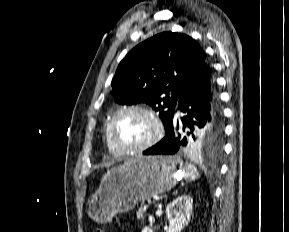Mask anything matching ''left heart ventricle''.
Here are the masks:
<instances>
[{
    "mask_svg": "<svg viewBox=\"0 0 289 232\" xmlns=\"http://www.w3.org/2000/svg\"><path fill=\"white\" fill-rule=\"evenodd\" d=\"M153 132L151 121L136 111L121 114L115 123L116 140L124 146H137L146 142Z\"/></svg>",
    "mask_w": 289,
    "mask_h": 232,
    "instance_id": "b2bd125f",
    "label": "left heart ventricle"
}]
</instances>
